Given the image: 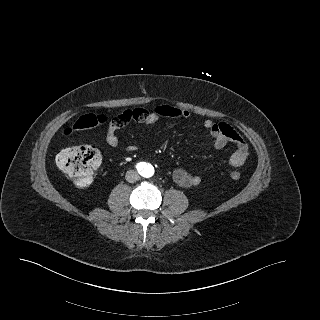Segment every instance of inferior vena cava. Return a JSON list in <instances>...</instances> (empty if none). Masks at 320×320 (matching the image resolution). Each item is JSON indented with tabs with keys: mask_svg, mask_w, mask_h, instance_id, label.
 <instances>
[{
	"mask_svg": "<svg viewBox=\"0 0 320 320\" xmlns=\"http://www.w3.org/2000/svg\"><path fill=\"white\" fill-rule=\"evenodd\" d=\"M125 178L129 183H134L139 179V175L136 171L129 170L126 172Z\"/></svg>",
	"mask_w": 320,
	"mask_h": 320,
	"instance_id": "602c4592",
	"label": "inferior vena cava"
}]
</instances>
